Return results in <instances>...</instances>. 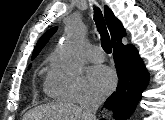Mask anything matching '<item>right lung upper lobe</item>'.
I'll return each instance as SVG.
<instances>
[{"mask_svg": "<svg viewBox=\"0 0 165 120\" xmlns=\"http://www.w3.org/2000/svg\"><path fill=\"white\" fill-rule=\"evenodd\" d=\"M105 19L111 34L112 45L123 41V38L126 35L125 29L121 22L114 16L113 12L108 6H105ZM56 30L57 27H53L43 34L34 48L32 59H34L38 55L44 45L48 42L49 38L56 32Z\"/></svg>", "mask_w": 165, "mask_h": 120, "instance_id": "1", "label": "right lung upper lobe"}]
</instances>
